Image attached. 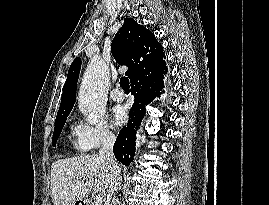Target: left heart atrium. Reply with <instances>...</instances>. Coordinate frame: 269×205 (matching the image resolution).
Masks as SVG:
<instances>
[{
    "mask_svg": "<svg viewBox=\"0 0 269 205\" xmlns=\"http://www.w3.org/2000/svg\"><path fill=\"white\" fill-rule=\"evenodd\" d=\"M112 114H113V118H114V122H115V125L116 126L122 125L126 121V119H127L126 111L120 105L116 106L113 109Z\"/></svg>",
    "mask_w": 269,
    "mask_h": 205,
    "instance_id": "obj_1",
    "label": "left heart atrium"
}]
</instances>
